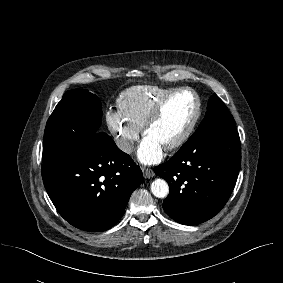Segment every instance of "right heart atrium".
<instances>
[{"label":"right heart atrium","instance_id":"obj_1","mask_svg":"<svg viewBox=\"0 0 283 283\" xmlns=\"http://www.w3.org/2000/svg\"><path fill=\"white\" fill-rule=\"evenodd\" d=\"M107 126L119 148L130 154L139 138L140 130L129 123L119 110H109L105 115Z\"/></svg>","mask_w":283,"mask_h":283}]
</instances>
